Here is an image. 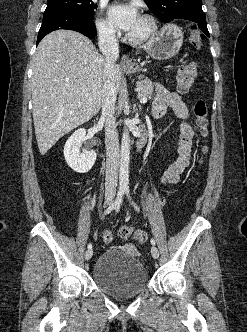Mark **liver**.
<instances>
[{"mask_svg":"<svg viewBox=\"0 0 247 332\" xmlns=\"http://www.w3.org/2000/svg\"><path fill=\"white\" fill-rule=\"evenodd\" d=\"M104 67L105 58L78 32L57 30L39 43L32 60L31 89L41 155L99 112L106 81ZM121 75V67L115 65L117 91Z\"/></svg>","mask_w":247,"mask_h":332,"instance_id":"liver-1","label":"liver"}]
</instances>
